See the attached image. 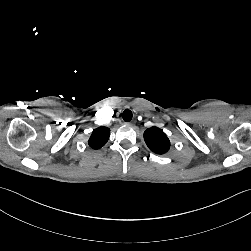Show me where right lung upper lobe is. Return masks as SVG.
Returning <instances> with one entry per match:
<instances>
[{"mask_svg": "<svg viewBox=\"0 0 251 251\" xmlns=\"http://www.w3.org/2000/svg\"><path fill=\"white\" fill-rule=\"evenodd\" d=\"M110 129L104 126L96 128L91 137L89 138L88 144L93 149H99L103 147L109 139Z\"/></svg>", "mask_w": 251, "mask_h": 251, "instance_id": "cb5924a9", "label": "right lung upper lobe"}]
</instances>
